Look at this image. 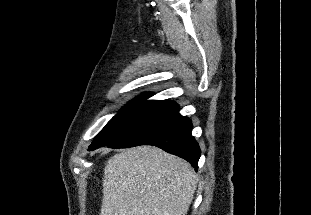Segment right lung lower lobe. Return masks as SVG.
Segmentation results:
<instances>
[{
    "label": "right lung lower lobe",
    "instance_id": "obj_1",
    "mask_svg": "<svg viewBox=\"0 0 311 215\" xmlns=\"http://www.w3.org/2000/svg\"><path fill=\"white\" fill-rule=\"evenodd\" d=\"M192 123L179 113L176 103L161 101L148 115L109 148L153 145L177 155L198 169L200 148L191 134Z\"/></svg>",
    "mask_w": 311,
    "mask_h": 215
}]
</instances>
